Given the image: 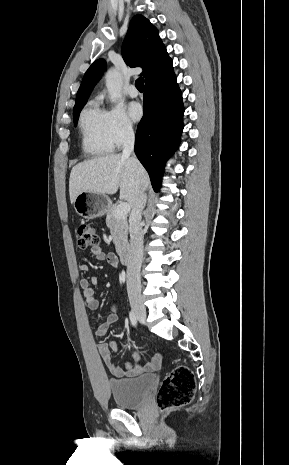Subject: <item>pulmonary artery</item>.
<instances>
[{
	"label": "pulmonary artery",
	"instance_id": "obj_1",
	"mask_svg": "<svg viewBox=\"0 0 289 465\" xmlns=\"http://www.w3.org/2000/svg\"><path fill=\"white\" fill-rule=\"evenodd\" d=\"M128 94L130 97L135 98L138 96L139 92L134 85L128 87Z\"/></svg>",
	"mask_w": 289,
	"mask_h": 465
}]
</instances>
